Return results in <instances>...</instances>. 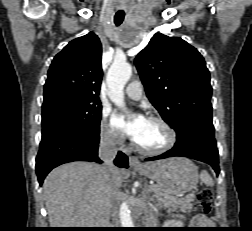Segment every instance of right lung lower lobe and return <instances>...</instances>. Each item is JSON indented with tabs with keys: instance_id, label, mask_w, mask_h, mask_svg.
<instances>
[{
	"instance_id": "right-lung-lower-lobe-1",
	"label": "right lung lower lobe",
	"mask_w": 252,
	"mask_h": 231,
	"mask_svg": "<svg viewBox=\"0 0 252 231\" xmlns=\"http://www.w3.org/2000/svg\"><path fill=\"white\" fill-rule=\"evenodd\" d=\"M99 134L74 130H60L42 137L36 157V173L42 185L46 175L55 167L72 161L102 163L98 158ZM118 167L128 168V157L118 152L115 159Z\"/></svg>"
}]
</instances>
